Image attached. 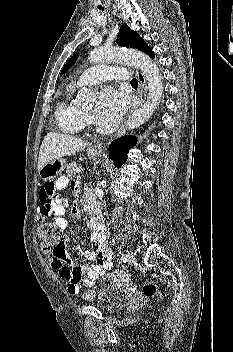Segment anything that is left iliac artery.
<instances>
[{"label": "left iliac artery", "instance_id": "obj_1", "mask_svg": "<svg viewBox=\"0 0 233 352\" xmlns=\"http://www.w3.org/2000/svg\"><path fill=\"white\" fill-rule=\"evenodd\" d=\"M121 260L126 263V262L128 261V255L123 254V255L121 256Z\"/></svg>", "mask_w": 233, "mask_h": 352}]
</instances>
